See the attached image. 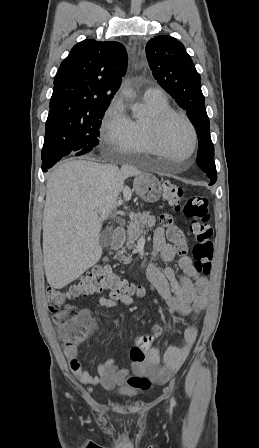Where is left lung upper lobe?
<instances>
[{
	"mask_svg": "<svg viewBox=\"0 0 259 448\" xmlns=\"http://www.w3.org/2000/svg\"><path fill=\"white\" fill-rule=\"evenodd\" d=\"M146 56L154 78L176 99L195 126L199 138L198 159L214 155L201 78L184 45L170 36H156L148 41Z\"/></svg>",
	"mask_w": 259,
	"mask_h": 448,
	"instance_id": "1",
	"label": "left lung upper lobe"
}]
</instances>
